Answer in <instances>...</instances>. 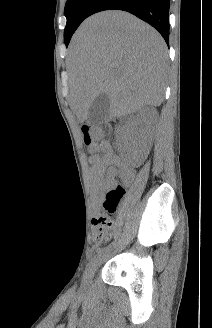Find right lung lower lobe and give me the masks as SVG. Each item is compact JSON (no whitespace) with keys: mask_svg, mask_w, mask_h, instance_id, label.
<instances>
[{"mask_svg":"<svg viewBox=\"0 0 212 328\" xmlns=\"http://www.w3.org/2000/svg\"><path fill=\"white\" fill-rule=\"evenodd\" d=\"M170 0H96L88 16L104 10H123L156 28L166 43L169 39Z\"/></svg>","mask_w":212,"mask_h":328,"instance_id":"98d812e1","label":"right lung lower lobe"}]
</instances>
